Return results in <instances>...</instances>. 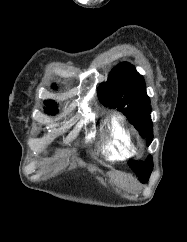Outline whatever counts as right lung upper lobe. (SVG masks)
<instances>
[{"instance_id":"right-lung-upper-lobe-1","label":"right lung upper lobe","mask_w":187,"mask_h":242,"mask_svg":"<svg viewBox=\"0 0 187 242\" xmlns=\"http://www.w3.org/2000/svg\"><path fill=\"white\" fill-rule=\"evenodd\" d=\"M45 106L44 107V110L46 113L48 114H55L58 112V109H57V103H55L53 100H46L44 102Z\"/></svg>"}]
</instances>
